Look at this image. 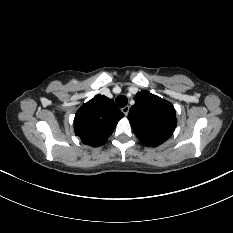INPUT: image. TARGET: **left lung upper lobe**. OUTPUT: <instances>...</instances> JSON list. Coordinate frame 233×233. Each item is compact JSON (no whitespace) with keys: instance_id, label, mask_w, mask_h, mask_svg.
<instances>
[{"instance_id":"obj_1","label":"left lung upper lobe","mask_w":233,"mask_h":233,"mask_svg":"<svg viewBox=\"0 0 233 233\" xmlns=\"http://www.w3.org/2000/svg\"><path fill=\"white\" fill-rule=\"evenodd\" d=\"M128 119L138 139L148 147L168 140L177 124L173 105L145 90L136 94Z\"/></svg>"}]
</instances>
